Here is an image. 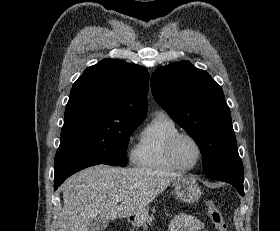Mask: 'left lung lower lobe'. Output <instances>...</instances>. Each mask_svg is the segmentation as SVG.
Masks as SVG:
<instances>
[{
  "instance_id": "0a47b994",
  "label": "left lung lower lobe",
  "mask_w": 280,
  "mask_h": 231,
  "mask_svg": "<svg viewBox=\"0 0 280 231\" xmlns=\"http://www.w3.org/2000/svg\"><path fill=\"white\" fill-rule=\"evenodd\" d=\"M205 176L209 179L230 183L237 189L241 196H244V169L239 156L225 162L221 166L205 174Z\"/></svg>"
}]
</instances>
